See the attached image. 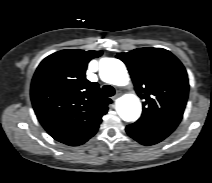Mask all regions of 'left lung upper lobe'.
I'll use <instances>...</instances> for the list:
<instances>
[{
	"instance_id": "left-lung-upper-lobe-1",
	"label": "left lung upper lobe",
	"mask_w": 212,
	"mask_h": 183,
	"mask_svg": "<svg viewBox=\"0 0 212 183\" xmlns=\"http://www.w3.org/2000/svg\"><path fill=\"white\" fill-rule=\"evenodd\" d=\"M116 57L127 65L138 96L145 99L136 123L173 132L188 98V77L182 63L162 48H139Z\"/></svg>"
}]
</instances>
